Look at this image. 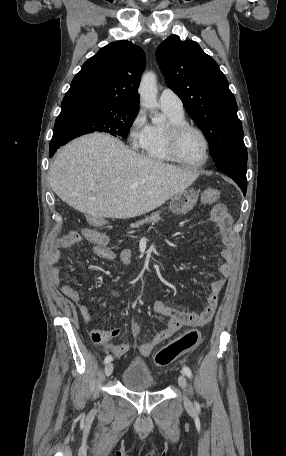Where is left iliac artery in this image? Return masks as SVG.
Listing matches in <instances>:
<instances>
[{
	"mask_svg": "<svg viewBox=\"0 0 286 456\" xmlns=\"http://www.w3.org/2000/svg\"><path fill=\"white\" fill-rule=\"evenodd\" d=\"M182 371L188 378H192V372L187 366H184ZM195 404L198 405L197 402Z\"/></svg>",
	"mask_w": 286,
	"mask_h": 456,
	"instance_id": "44dca946",
	"label": "left iliac artery"
}]
</instances>
